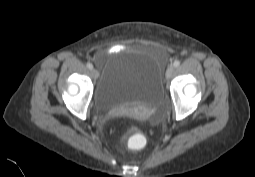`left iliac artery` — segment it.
Listing matches in <instances>:
<instances>
[{
	"instance_id": "left-iliac-artery-1",
	"label": "left iliac artery",
	"mask_w": 255,
	"mask_h": 177,
	"mask_svg": "<svg viewBox=\"0 0 255 177\" xmlns=\"http://www.w3.org/2000/svg\"><path fill=\"white\" fill-rule=\"evenodd\" d=\"M174 67H178L180 65V61L176 60L174 63H173Z\"/></svg>"
}]
</instances>
